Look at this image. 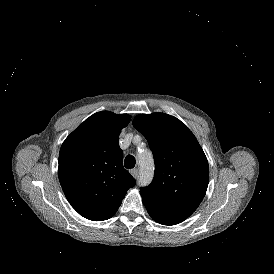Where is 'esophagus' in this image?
Here are the masks:
<instances>
[{
    "label": "esophagus",
    "instance_id": "esophagus-1",
    "mask_svg": "<svg viewBox=\"0 0 274 274\" xmlns=\"http://www.w3.org/2000/svg\"><path fill=\"white\" fill-rule=\"evenodd\" d=\"M130 173L134 178H137L139 176V170L137 168L131 169Z\"/></svg>",
    "mask_w": 274,
    "mask_h": 274
}]
</instances>
